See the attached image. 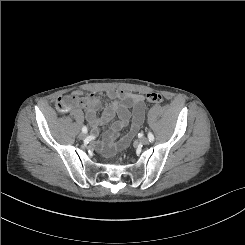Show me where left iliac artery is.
I'll use <instances>...</instances> for the list:
<instances>
[{
	"label": "left iliac artery",
	"mask_w": 245,
	"mask_h": 245,
	"mask_svg": "<svg viewBox=\"0 0 245 245\" xmlns=\"http://www.w3.org/2000/svg\"><path fill=\"white\" fill-rule=\"evenodd\" d=\"M148 138L151 142L154 140V136L151 132H148Z\"/></svg>",
	"instance_id": "obj_1"
}]
</instances>
